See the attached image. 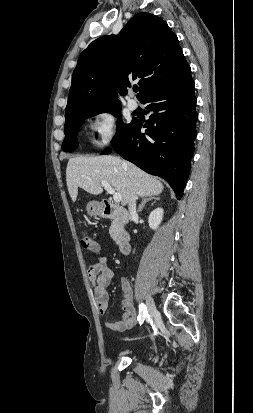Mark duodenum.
<instances>
[{"mask_svg": "<svg viewBox=\"0 0 253 413\" xmlns=\"http://www.w3.org/2000/svg\"><path fill=\"white\" fill-rule=\"evenodd\" d=\"M100 211L105 218L115 219L120 224H125L129 220L128 212L109 201H103L100 205ZM115 242L122 254L127 255L130 252V237L125 231H118Z\"/></svg>", "mask_w": 253, "mask_h": 413, "instance_id": "410a0bca", "label": "duodenum"}]
</instances>
